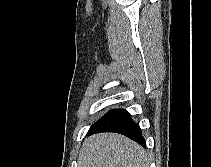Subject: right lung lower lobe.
<instances>
[{
    "mask_svg": "<svg viewBox=\"0 0 211 167\" xmlns=\"http://www.w3.org/2000/svg\"><path fill=\"white\" fill-rule=\"evenodd\" d=\"M101 132L120 133L145 146V139L141 134L139 124L135 123L130 113L124 109H115L106 113L91 126L88 134Z\"/></svg>",
    "mask_w": 211,
    "mask_h": 167,
    "instance_id": "98d812e1",
    "label": "right lung lower lobe"
}]
</instances>
